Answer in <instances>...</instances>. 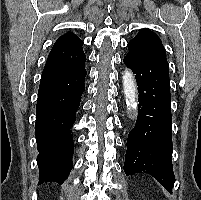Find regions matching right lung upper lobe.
I'll use <instances>...</instances> for the list:
<instances>
[{
	"label": "right lung upper lobe",
	"mask_w": 201,
	"mask_h": 200,
	"mask_svg": "<svg viewBox=\"0 0 201 200\" xmlns=\"http://www.w3.org/2000/svg\"><path fill=\"white\" fill-rule=\"evenodd\" d=\"M83 42L74 33L68 32L57 39L47 58L41 82L68 76L79 70L86 61Z\"/></svg>",
	"instance_id": "right-lung-upper-lobe-1"
}]
</instances>
